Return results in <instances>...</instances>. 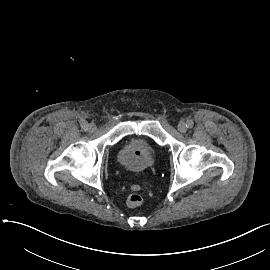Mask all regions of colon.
Segmentation results:
<instances>
[{
	"mask_svg": "<svg viewBox=\"0 0 270 270\" xmlns=\"http://www.w3.org/2000/svg\"><path fill=\"white\" fill-rule=\"evenodd\" d=\"M143 202V196L140 192H129L126 196V204L131 207L139 206Z\"/></svg>",
	"mask_w": 270,
	"mask_h": 270,
	"instance_id": "5ec220e1",
	"label": "colon"
}]
</instances>
